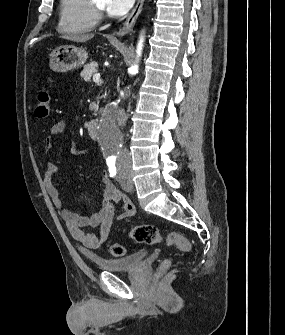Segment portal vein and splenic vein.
<instances>
[{
	"label": "portal vein and splenic vein",
	"instance_id": "1",
	"mask_svg": "<svg viewBox=\"0 0 285 335\" xmlns=\"http://www.w3.org/2000/svg\"><path fill=\"white\" fill-rule=\"evenodd\" d=\"M93 82H101V80H100V74H94V76H93Z\"/></svg>",
	"mask_w": 285,
	"mask_h": 335
}]
</instances>
